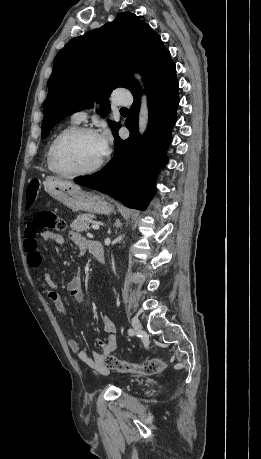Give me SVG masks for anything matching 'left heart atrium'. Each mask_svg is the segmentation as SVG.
Returning <instances> with one entry per match:
<instances>
[{
    "mask_svg": "<svg viewBox=\"0 0 261 459\" xmlns=\"http://www.w3.org/2000/svg\"><path fill=\"white\" fill-rule=\"evenodd\" d=\"M100 143L102 145L104 153L108 151L109 144L111 143V134L109 130L105 129L101 134L98 135Z\"/></svg>",
    "mask_w": 261,
    "mask_h": 459,
    "instance_id": "1",
    "label": "left heart atrium"
}]
</instances>
